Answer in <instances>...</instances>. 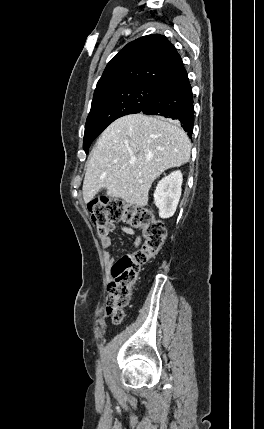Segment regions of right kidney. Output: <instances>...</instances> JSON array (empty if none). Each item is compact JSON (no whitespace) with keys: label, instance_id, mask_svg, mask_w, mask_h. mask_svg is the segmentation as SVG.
<instances>
[{"label":"right kidney","instance_id":"obj_1","mask_svg":"<svg viewBox=\"0 0 264 429\" xmlns=\"http://www.w3.org/2000/svg\"><path fill=\"white\" fill-rule=\"evenodd\" d=\"M182 173L177 170L161 179L154 192V203L159 209V216L170 218L176 211L181 196Z\"/></svg>","mask_w":264,"mask_h":429}]
</instances>
